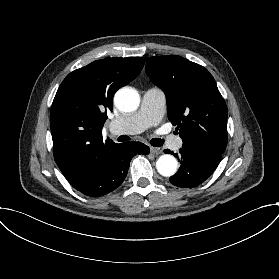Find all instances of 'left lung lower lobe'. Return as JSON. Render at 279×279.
<instances>
[{
    "label": "left lung lower lobe",
    "mask_w": 279,
    "mask_h": 279,
    "mask_svg": "<svg viewBox=\"0 0 279 279\" xmlns=\"http://www.w3.org/2000/svg\"><path fill=\"white\" fill-rule=\"evenodd\" d=\"M165 153H172L165 150ZM181 167L170 178V182L180 187H195L204 182L218 166L221 155L211 150L200 147L183 146L179 150ZM178 158V154H174Z\"/></svg>",
    "instance_id": "0a47b994"
}]
</instances>
